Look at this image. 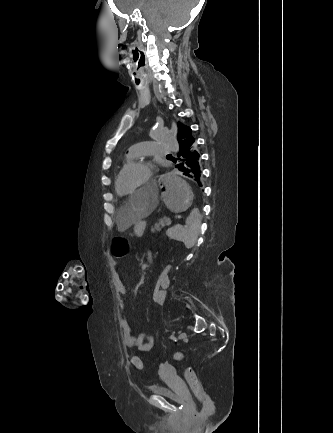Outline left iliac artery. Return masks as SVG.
<instances>
[{
	"instance_id": "44dca946",
	"label": "left iliac artery",
	"mask_w": 333,
	"mask_h": 433,
	"mask_svg": "<svg viewBox=\"0 0 333 433\" xmlns=\"http://www.w3.org/2000/svg\"><path fill=\"white\" fill-rule=\"evenodd\" d=\"M171 338H172V339H174V338H175V336H174V335H171Z\"/></svg>"
}]
</instances>
